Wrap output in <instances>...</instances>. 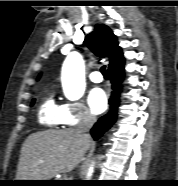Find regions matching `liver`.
<instances>
[{
    "label": "liver",
    "mask_w": 178,
    "mask_h": 186,
    "mask_svg": "<svg viewBox=\"0 0 178 186\" xmlns=\"http://www.w3.org/2000/svg\"><path fill=\"white\" fill-rule=\"evenodd\" d=\"M90 136L74 128L31 134L23 143L18 163V180H50L72 171L91 145Z\"/></svg>",
    "instance_id": "1"
}]
</instances>
